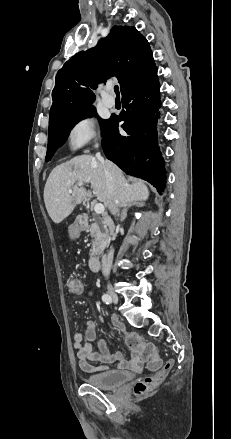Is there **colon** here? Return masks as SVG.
<instances>
[{"label": "colon", "mask_w": 231, "mask_h": 439, "mask_svg": "<svg viewBox=\"0 0 231 439\" xmlns=\"http://www.w3.org/2000/svg\"><path fill=\"white\" fill-rule=\"evenodd\" d=\"M67 288L70 293L77 295L82 291V283L76 278H70L67 280ZM126 342L131 349L139 351L141 358L146 361L147 369L154 372L140 379L134 385V393L141 395L156 387L171 370L173 363L169 360L163 364L154 346L143 342L136 334H129L126 337Z\"/></svg>", "instance_id": "1"}]
</instances>
